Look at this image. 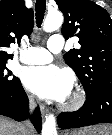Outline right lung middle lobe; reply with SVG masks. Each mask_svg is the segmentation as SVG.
<instances>
[{
  "label": "right lung middle lobe",
  "mask_w": 112,
  "mask_h": 135,
  "mask_svg": "<svg viewBox=\"0 0 112 135\" xmlns=\"http://www.w3.org/2000/svg\"><path fill=\"white\" fill-rule=\"evenodd\" d=\"M20 80L7 68V61H0V94L11 92Z\"/></svg>",
  "instance_id": "right-lung-middle-lobe-1"
}]
</instances>
